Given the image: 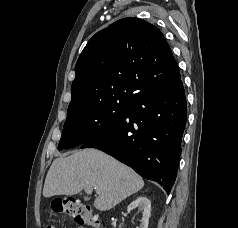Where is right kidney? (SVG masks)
I'll return each instance as SVG.
<instances>
[{"label": "right kidney", "instance_id": "1", "mask_svg": "<svg viewBox=\"0 0 238 228\" xmlns=\"http://www.w3.org/2000/svg\"><path fill=\"white\" fill-rule=\"evenodd\" d=\"M136 207L142 213L141 223L138 228H148L150 211H151L150 200L147 197L140 196L127 207V210L131 211L135 209Z\"/></svg>", "mask_w": 238, "mask_h": 228}]
</instances>
